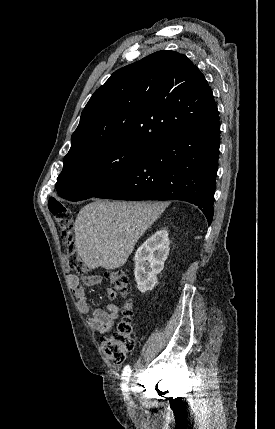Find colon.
I'll use <instances>...</instances> for the list:
<instances>
[{
  "label": "colon",
  "instance_id": "1",
  "mask_svg": "<svg viewBox=\"0 0 275 429\" xmlns=\"http://www.w3.org/2000/svg\"><path fill=\"white\" fill-rule=\"evenodd\" d=\"M49 210L61 229V235L66 240V262L69 268L86 273L87 266L78 254L73 241V217L71 211L62 202L49 201ZM111 289L120 294H126L129 279L121 270L109 271L107 273ZM123 317L119 321L116 330L109 336L101 339V349L104 355L113 363L121 364L126 356L134 349V311L130 303L123 308Z\"/></svg>",
  "mask_w": 275,
  "mask_h": 429
}]
</instances>
